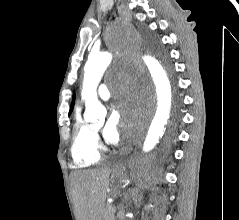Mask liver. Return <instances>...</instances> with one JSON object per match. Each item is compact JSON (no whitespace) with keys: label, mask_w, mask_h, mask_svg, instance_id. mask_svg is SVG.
Masks as SVG:
<instances>
[{"label":"liver","mask_w":239,"mask_h":220,"mask_svg":"<svg viewBox=\"0 0 239 220\" xmlns=\"http://www.w3.org/2000/svg\"><path fill=\"white\" fill-rule=\"evenodd\" d=\"M111 171L109 167H104L71 173L77 220H103Z\"/></svg>","instance_id":"1"}]
</instances>
